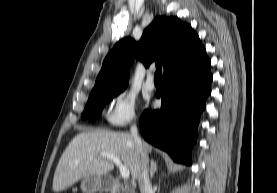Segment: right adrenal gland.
<instances>
[{"instance_id":"1","label":"right adrenal gland","mask_w":277,"mask_h":193,"mask_svg":"<svg viewBox=\"0 0 277 193\" xmlns=\"http://www.w3.org/2000/svg\"><path fill=\"white\" fill-rule=\"evenodd\" d=\"M157 171V163L152 159L150 166V178L153 179L155 172Z\"/></svg>"}]
</instances>
